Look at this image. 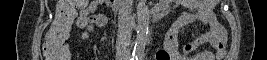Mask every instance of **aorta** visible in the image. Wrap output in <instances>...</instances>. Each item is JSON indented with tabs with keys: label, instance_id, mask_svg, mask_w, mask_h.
<instances>
[{
	"label": "aorta",
	"instance_id": "1",
	"mask_svg": "<svg viewBox=\"0 0 267 60\" xmlns=\"http://www.w3.org/2000/svg\"><path fill=\"white\" fill-rule=\"evenodd\" d=\"M137 10V36L136 45L134 48L135 54H140L144 51L149 27V12L146 5V0H138Z\"/></svg>",
	"mask_w": 267,
	"mask_h": 60
}]
</instances>
